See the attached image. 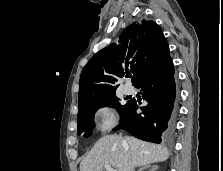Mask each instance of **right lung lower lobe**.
<instances>
[{
	"instance_id": "obj_1",
	"label": "right lung lower lobe",
	"mask_w": 223,
	"mask_h": 171,
	"mask_svg": "<svg viewBox=\"0 0 223 171\" xmlns=\"http://www.w3.org/2000/svg\"><path fill=\"white\" fill-rule=\"evenodd\" d=\"M172 59L144 77L135 87L141 88L142 98L148 104L142 107V113L136 112L135 100L121 118V123L114 129L123 128L136 138L160 143L169 138L172 131V112L176 98Z\"/></svg>"
}]
</instances>
